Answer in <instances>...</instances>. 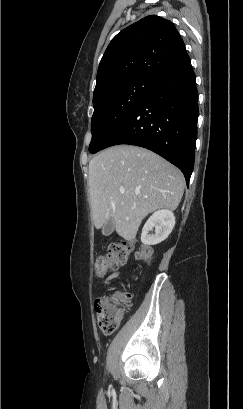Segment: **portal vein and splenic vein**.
<instances>
[{"mask_svg": "<svg viewBox=\"0 0 243 409\" xmlns=\"http://www.w3.org/2000/svg\"><path fill=\"white\" fill-rule=\"evenodd\" d=\"M120 193H121V194H124V190H123V189H122V190H120Z\"/></svg>", "mask_w": 243, "mask_h": 409, "instance_id": "1", "label": "portal vein and splenic vein"}]
</instances>
